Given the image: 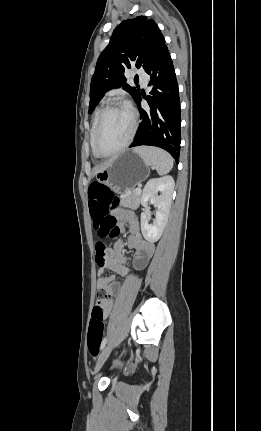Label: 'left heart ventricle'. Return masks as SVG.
Instances as JSON below:
<instances>
[{
	"label": "left heart ventricle",
	"mask_w": 261,
	"mask_h": 431,
	"mask_svg": "<svg viewBox=\"0 0 261 431\" xmlns=\"http://www.w3.org/2000/svg\"><path fill=\"white\" fill-rule=\"evenodd\" d=\"M130 113L122 107L110 110L104 117L99 134V146L104 152H111L120 147L131 130Z\"/></svg>",
	"instance_id": "1"
}]
</instances>
